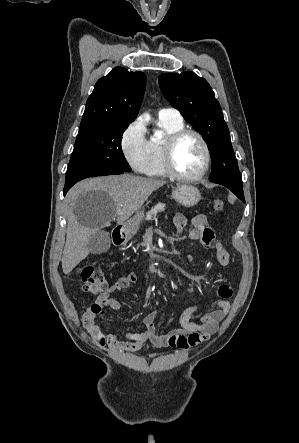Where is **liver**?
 <instances>
[{"label":"liver","mask_w":299,"mask_h":443,"mask_svg":"<svg viewBox=\"0 0 299 443\" xmlns=\"http://www.w3.org/2000/svg\"><path fill=\"white\" fill-rule=\"evenodd\" d=\"M165 184L164 180L123 174L91 178L75 185L67 195L64 274L88 256V241L97 231L109 227L115 217L118 224H124Z\"/></svg>","instance_id":"liver-1"}]
</instances>
